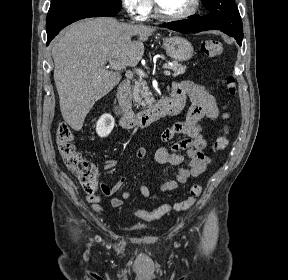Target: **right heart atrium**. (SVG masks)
Listing matches in <instances>:
<instances>
[{"mask_svg":"<svg viewBox=\"0 0 288 280\" xmlns=\"http://www.w3.org/2000/svg\"><path fill=\"white\" fill-rule=\"evenodd\" d=\"M123 7L137 19H145L152 10L151 0H122Z\"/></svg>","mask_w":288,"mask_h":280,"instance_id":"d8ad5b80","label":"right heart atrium"}]
</instances>
